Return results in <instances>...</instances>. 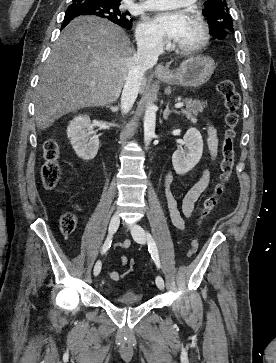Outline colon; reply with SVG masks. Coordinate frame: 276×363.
<instances>
[{
  "mask_svg": "<svg viewBox=\"0 0 276 363\" xmlns=\"http://www.w3.org/2000/svg\"><path fill=\"white\" fill-rule=\"evenodd\" d=\"M218 92L222 96L226 108L225 124L226 130L223 135L221 146L220 173L219 180L215 184L213 191L203 202L200 219L205 217L217 204L224 192L225 184L231 177L235 160V127L238 123V109L240 106V94L231 79H223L218 84ZM60 155L58 144L50 139L45 142L44 156L45 163L42 167V180L47 189H53L61 178V168L58 163ZM77 219L71 212L64 213L60 218V227L64 235L74 232ZM197 250V242L193 240L187 252L188 256H193ZM129 268L134 266V260L128 261Z\"/></svg>",
  "mask_w": 276,
  "mask_h": 363,
  "instance_id": "5ec220e1",
  "label": "colon"
}]
</instances>
